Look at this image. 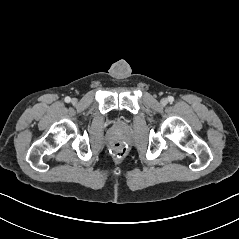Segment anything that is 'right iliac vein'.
Listing matches in <instances>:
<instances>
[{"label":"right iliac vein","mask_w":239,"mask_h":239,"mask_svg":"<svg viewBox=\"0 0 239 239\" xmlns=\"http://www.w3.org/2000/svg\"><path fill=\"white\" fill-rule=\"evenodd\" d=\"M72 103H73V104L77 103V99H76V98H73V99H72Z\"/></svg>","instance_id":"obj_1"}]
</instances>
